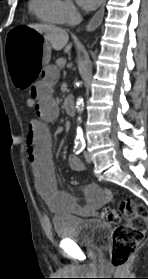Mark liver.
Here are the masks:
<instances>
[{
	"mask_svg": "<svg viewBox=\"0 0 148 279\" xmlns=\"http://www.w3.org/2000/svg\"><path fill=\"white\" fill-rule=\"evenodd\" d=\"M28 27L42 34L56 51H60L65 47L64 52H70L72 44L67 45L69 36L64 29L52 25L42 24H32L28 25Z\"/></svg>",
	"mask_w": 148,
	"mask_h": 279,
	"instance_id": "liver-1",
	"label": "liver"
}]
</instances>
